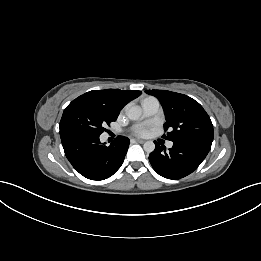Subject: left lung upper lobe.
<instances>
[{
  "label": "left lung upper lobe",
  "instance_id": "1",
  "mask_svg": "<svg viewBox=\"0 0 261 261\" xmlns=\"http://www.w3.org/2000/svg\"><path fill=\"white\" fill-rule=\"evenodd\" d=\"M161 102L168 132L163 137L171 141H200L212 144L213 125L203 107L187 95L167 90H146Z\"/></svg>",
  "mask_w": 261,
  "mask_h": 261
}]
</instances>
